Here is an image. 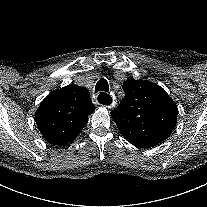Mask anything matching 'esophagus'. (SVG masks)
<instances>
[{
    "instance_id": "esophagus-1",
    "label": "esophagus",
    "mask_w": 207,
    "mask_h": 207,
    "mask_svg": "<svg viewBox=\"0 0 207 207\" xmlns=\"http://www.w3.org/2000/svg\"><path fill=\"white\" fill-rule=\"evenodd\" d=\"M98 100L101 104H103L107 108L112 107L115 103L114 98L106 92H103L100 95L96 94L95 98L93 99V101L96 105H98Z\"/></svg>"
}]
</instances>
